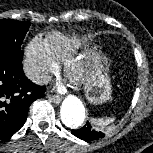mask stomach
Masks as SVG:
<instances>
[{"label":"stomach","instance_id":"1","mask_svg":"<svg viewBox=\"0 0 153 153\" xmlns=\"http://www.w3.org/2000/svg\"><path fill=\"white\" fill-rule=\"evenodd\" d=\"M103 60L99 52H92L90 73L84 83L85 96L90 103H104L111 95V82L103 68Z\"/></svg>","mask_w":153,"mask_h":153}]
</instances>
